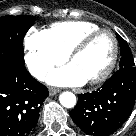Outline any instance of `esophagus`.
I'll return each instance as SVG.
<instances>
[{"label":"esophagus","mask_w":136,"mask_h":136,"mask_svg":"<svg viewBox=\"0 0 136 136\" xmlns=\"http://www.w3.org/2000/svg\"><path fill=\"white\" fill-rule=\"evenodd\" d=\"M58 92H59V89H56V88H53V87L49 88V94L51 96L57 94Z\"/></svg>","instance_id":"esophagus-1"}]
</instances>
